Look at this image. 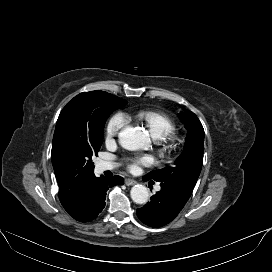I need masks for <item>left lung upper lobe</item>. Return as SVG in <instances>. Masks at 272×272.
I'll use <instances>...</instances> for the list:
<instances>
[{"mask_svg":"<svg viewBox=\"0 0 272 272\" xmlns=\"http://www.w3.org/2000/svg\"><path fill=\"white\" fill-rule=\"evenodd\" d=\"M178 116L188 130L184 151L174 166L151 171L145 177L172 186L190 197L202 168L204 129L193 112L187 111Z\"/></svg>","mask_w":272,"mask_h":272,"instance_id":"obj_1","label":"left lung upper lobe"}]
</instances>
